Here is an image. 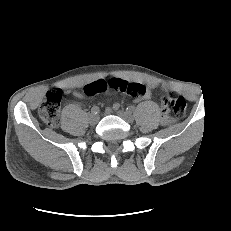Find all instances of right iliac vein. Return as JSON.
<instances>
[{"label":"right iliac vein","instance_id":"obj_1","mask_svg":"<svg viewBox=\"0 0 231 231\" xmlns=\"http://www.w3.org/2000/svg\"><path fill=\"white\" fill-rule=\"evenodd\" d=\"M99 121V116L98 115H96V114H93V113H91L90 115H89V122L91 123V124H96L97 122Z\"/></svg>","mask_w":231,"mask_h":231}]
</instances>
